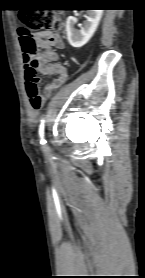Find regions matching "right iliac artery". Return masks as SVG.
Here are the masks:
<instances>
[{
    "instance_id": "right-iliac-artery-1",
    "label": "right iliac artery",
    "mask_w": 145,
    "mask_h": 278,
    "mask_svg": "<svg viewBox=\"0 0 145 278\" xmlns=\"http://www.w3.org/2000/svg\"><path fill=\"white\" fill-rule=\"evenodd\" d=\"M39 135L41 137L40 143L44 145L46 143V141L43 138V136H44V121H42L40 126H39Z\"/></svg>"
}]
</instances>
